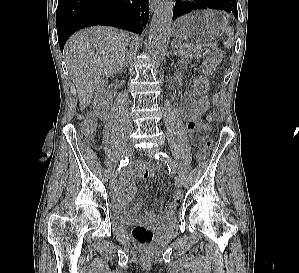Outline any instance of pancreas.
Masks as SVG:
<instances>
[{
    "instance_id": "1",
    "label": "pancreas",
    "mask_w": 299,
    "mask_h": 273,
    "mask_svg": "<svg viewBox=\"0 0 299 273\" xmlns=\"http://www.w3.org/2000/svg\"><path fill=\"white\" fill-rule=\"evenodd\" d=\"M177 47L180 55L186 58L193 57L194 55L193 45L188 43H179Z\"/></svg>"
}]
</instances>
